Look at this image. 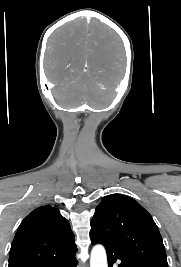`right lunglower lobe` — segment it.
<instances>
[{
  "label": "right lung lower lobe",
  "mask_w": 181,
  "mask_h": 267,
  "mask_svg": "<svg viewBox=\"0 0 181 267\" xmlns=\"http://www.w3.org/2000/svg\"><path fill=\"white\" fill-rule=\"evenodd\" d=\"M75 252L76 250L69 254L55 257L47 262H22L10 265V267H76L77 260L74 256Z\"/></svg>",
  "instance_id": "1"
}]
</instances>
